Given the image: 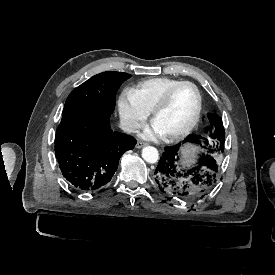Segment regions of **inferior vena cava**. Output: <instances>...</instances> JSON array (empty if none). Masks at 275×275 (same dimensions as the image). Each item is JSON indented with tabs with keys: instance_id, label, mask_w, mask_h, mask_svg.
Instances as JSON below:
<instances>
[{
	"instance_id": "obj_1",
	"label": "inferior vena cava",
	"mask_w": 275,
	"mask_h": 275,
	"mask_svg": "<svg viewBox=\"0 0 275 275\" xmlns=\"http://www.w3.org/2000/svg\"><path fill=\"white\" fill-rule=\"evenodd\" d=\"M120 126L126 133H132L136 130V125L132 123L121 122Z\"/></svg>"
}]
</instances>
